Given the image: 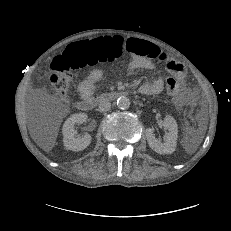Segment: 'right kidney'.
I'll return each mask as SVG.
<instances>
[{"mask_svg":"<svg viewBox=\"0 0 231 231\" xmlns=\"http://www.w3.org/2000/svg\"><path fill=\"white\" fill-rule=\"evenodd\" d=\"M87 115L85 113H77L71 115L63 124V143L66 149L72 151H81L87 148L92 140L90 134L86 133L82 137H76L75 124H82L86 121Z\"/></svg>","mask_w":231,"mask_h":231,"instance_id":"obj_1","label":"right kidney"}]
</instances>
